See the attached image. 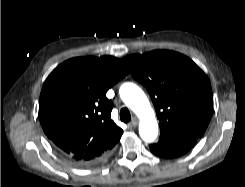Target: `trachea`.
<instances>
[{
  "mask_svg": "<svg viewBox=\"0 0 245 187\" xmlns=\"http://www.w3.org/2000/svg\"><path fill=\"white\" fill-rule=\"evenodd\" d=\"M120 120L124 123L131 120V114L128 108L124 107L120 110Z\"/></svg>",
  "mask_w": 245,
  "mask_h": 187,
  "instance_id": "1",
  "label": "trachea"
}]
</instances>
